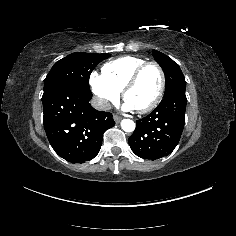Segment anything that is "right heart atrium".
<instances>
[{"label": "right heart atrium", "instance_id": "obj_1", "mask_svg": "<svg viewBox=\"0 0 236 236\" xmlns=\"http://www.w3.org/2000/svg\"><path fill=\"white\" fill-rule=\"evenodd\" d=\"M89 85L99 107L102 109H108L112 103L119 99L120 93L114 90L97 71L91 72Z\"/></svg>", "mask_w": 236, "mask_h": 236}]
</instances>
